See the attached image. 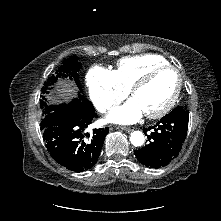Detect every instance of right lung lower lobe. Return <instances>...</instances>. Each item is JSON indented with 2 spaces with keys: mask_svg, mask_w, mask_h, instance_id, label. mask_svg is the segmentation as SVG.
I'll return each instance as SVG.
<instances>
[{
  "mask_svg": "<svg viewBox=\"0 0 221 221\" xmlns=\"http://www.w3.org/2000/svg\"><path fill=\"white\" fill-rule=\"evenodd\" d=\"M94 118H97L95 108L83 106H67L44 116L40 129L45 146L56 162L75 172L96 164L109 128L85 133Z\"/></svg>",
  "mask_w": 221,
  "mask_h": 221,
  "instance_id": "1",
  "label": "right lung lower lobe"
}]
</instances>
